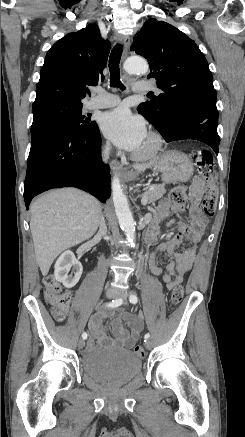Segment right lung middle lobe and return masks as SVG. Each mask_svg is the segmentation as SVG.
<instances>
[{
  "instance_id": "1",
  "label": "right lung middle lobe",
  "mask_w": 245,
  "mask_h": 437,
  "mask_svg": "<svg viewBox=\"0 0 245 437\" xmlns=\"http://www.w3.org/2000/svg\"><path fill=\"white\" fill-rule=\"evenodd\" d=\"M96 122L82 115V104L53 102L33 107L31 138L49 127H59L69 132L84 131Z\"/></svg>"
}]
</instances>
